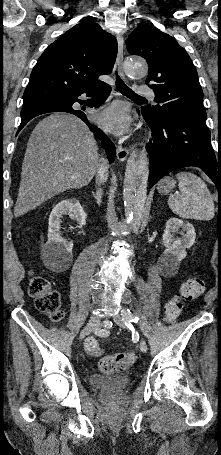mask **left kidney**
<instances>
[{
	"mask_svg": "<svg viewBox=\"0 0 221 455\" xmlns=\"http://www.w3.org/2000/svg\"><path fill=\"white\" fill-rule=\"evenodd\" d=\"M179 228L186 232L182 238H174ZM196 233L192 224L184 223L178 218H170L166 222L163 234V244L166 250L162 253L159 260L167 268H176L186 255V249L195 243Z\"/></svg>",
	"mask_w": 221,
	"mask_h": 455,
	"instance_id": "left-kidney-1",
	"label": "left kidney"
}]
</instances>
